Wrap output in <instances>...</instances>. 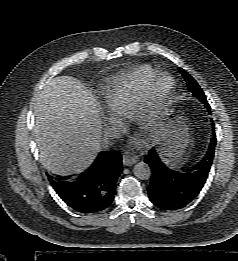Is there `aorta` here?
<instances>
[{
	"instance_id": "762f6f07",
	"label": "aorta",
	"mask_w": 238,
	"mask_h": 261,
	"mask_svg": "<svg viewBox=\"0 0 238 261\" xmlns=\"http://www.w3.org/2000/svg\"><path fill=\"white\" fill-rule=\"evenodd\" d=\"M133 173L140 180H147L151 177L150 166L145 162H138L135 164Z\"/></svg>"
}]
</instances>
